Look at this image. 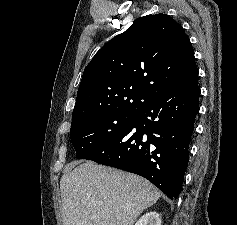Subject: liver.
<instances>
[{
  "label": "liver",
  "instance_id": "6515ba94",
  "mask_svg": "<svg viewBox=\"0 0 237 225\" xmlns=\"http://www.w3.org/2000/svg\"><path fill=\"white\" fill-rule=\"evenodd\" d=\"M63 225H133L160 193L146 179L87 161L60 181Z\"/></svg>",
  "mask_w": 237,
  "mask_h": 225
}]
</instances>
